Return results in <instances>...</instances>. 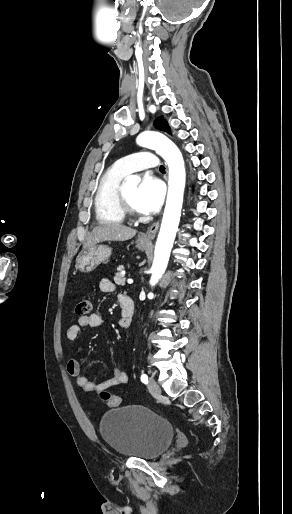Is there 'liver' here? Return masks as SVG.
Returning <instances> with one entry per match:
<instances>
[{"mask_svg": "<svg viewBox=\"0 0 292 514\" xmlns=\"http://www.w3.org/2000/svg\"><path fill=\"white\" fill-rule=\"evenodd\" d=\"M135 234L136 230L127 228V226H121V224H103V226L93 228L83 248H90V246H95L99 242H106V240L125 242V240H131Z\"/></svg>", "mask_w": 292, "mask_h": 514, "instance_id": "liver-1", "label": "liver"}]
</instances>
